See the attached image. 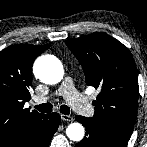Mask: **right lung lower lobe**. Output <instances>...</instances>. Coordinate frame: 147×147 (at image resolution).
Listing matches in <instances>:
<instances>
[{
  "label": "right lung lower lobe",
  "instance_id": "obj_1",
  "mask_svg": "<svg viewBox=\"0 0 147 147\" xmlns=\"http://www.w3.org/2000/svg\"><path fill=\"white\" fill-rule=\"evenodd\" d=\"M59 124V114H47L41 120L0 144V147H48Z\"/></svg>",
  "mask_w": 147,
  "mask_h": 147
}]
</instances>
